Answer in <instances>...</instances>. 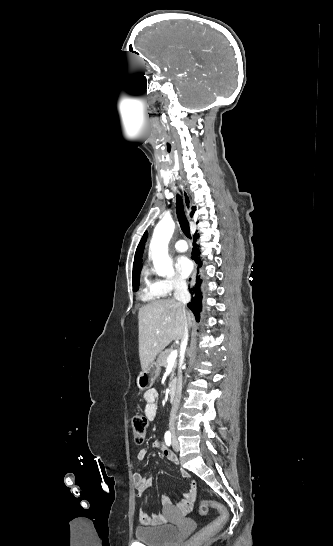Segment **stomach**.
Wrapping results in <instances>:
<instances>
[{"label": "stomach", "instance_id": "1", "mask_svg": "<svg viewBox=\"0 0 333 546\" xmlns=\"http://www.w3.org/2000/svg\"><path fill=\"white\" fill-rule=\"evenodd\" d=\"M160 367L158 362L154 361L146 370L139 373L137 377V386L139 389L145 390L152 387L154 381L160 374Z\"/></svg>", "mask_w": 333, "mask_h": 546}]
</instances>
